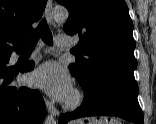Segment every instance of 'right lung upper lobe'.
Here are the masks:
<instances>
[{
	"label": "right lung upper lobe",
	"mask_w": 156,
	"mask_h": 124,
	"mask_svg": "<svg viewBox=\"0 0 156 124\" xmlns=\"http://www.w3.org/2000/svg\"><path fill=\"white\" fill-rule=\"evenodd\" d=\"M47 0H0V54L22 50L24 38L38 21Z\"/></svg>",
	"instance_id": "obj_1"
}]
</instances>
